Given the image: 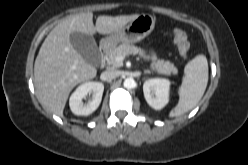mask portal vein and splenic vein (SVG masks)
Segmentation results:
<instances>
[{"label":"portal vein and splenic vein","instance_id":"portal-vein-and-splenic-vein-1","mask_svg":"<svg viewBox=\"0 0 248 165\" xmlns=\"http://www.w3.org/2000/svg\"><path fill=\"white\" fill-rule=\"evenodd\" d=\"M116 60L119 61V62H122V61L124 60V57L118 56V57L116 58Z\"/></svg>","mask_w":248,"mask_h":165}]
</instances>
